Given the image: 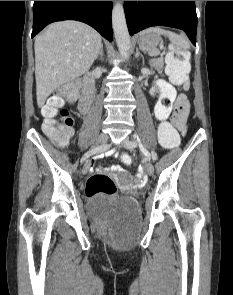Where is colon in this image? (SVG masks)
I'll return each mask as SVG.
<instances>
[{"label": "colon", "instance_id": "1", "mask_svg": "<svg viewBox=\"0 0 233 295\" xmlns=\"http://www.w3.org/2000/svg\"><path fill=\"white\" fill-rule=\"evenodd\" d=\"M189 70V55L180 46L173 48L166 59V71L172 82L185 85ZM80 89L79 81H71L52 94L43 108L46 118L44 131L48 137L59 146L66 145L72 137L73 119L65 108L64 98L75 96ZM160 145L168 150L179 146L180 137L175 128L168 122H162L158 127ZM121 161L130 165L132 159L128 154L121 155ZM116 185L104 174H93L86 183V194L91 198L113 197Z\"/></svg>", "mask_w": 233, "mask_h": 295}]
</instances>
